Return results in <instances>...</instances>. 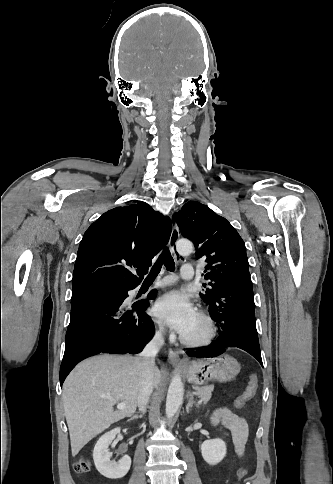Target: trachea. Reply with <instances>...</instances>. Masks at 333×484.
<instances>
[{"label": "trachea", "mask_w": 333, "mask_h": 484, "mask_svg": "<svg viewBox=\"0 0 333 484\" xmlns=\"http://www.w3.org/2000/svg\"><path fill=\"white\" fill-rule=\"evenodd\" d=\"M163 265L170 272H173L174 269H175V263H174L173 257L171 255L168 247H166L162 251V253L160 254L158 260L156 261V263L152 267L150 273L148 274L146 280H154L157 277V275L159 274V272H160V270H161V268H162Z\"/></svg>", "instance_id": "3493384b"}]
</instances>
